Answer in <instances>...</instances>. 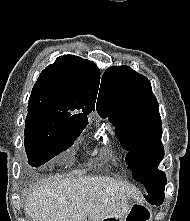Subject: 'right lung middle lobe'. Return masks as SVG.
Instances as JSON below:
<instances>
[{"label": "right lung middle lobe", "instance_id": "dd1d6c3e", "mask_svg": "<svg viewBox=\"0 0 190 221\" xmlns=\"http://www.w3.org/2000/svg\"><path fill=\"white\" fill-rule=\"evenodd\" d=\"M88 119H69L59 115L28 114L25 149L28 163L39 167L65 151L87 126Z\"/></svg>", "mask_w": 190, "mask_h": 221}]
</instances>
